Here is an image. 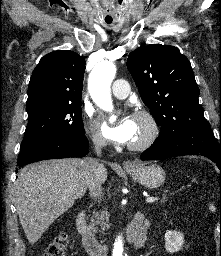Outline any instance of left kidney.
<instances>
[{
	"mask_svg": "<svg viewBox=\"0 0 221 256\" xmlns=\"http://www.w3.org/2000/svg\"><path fill=\"white\" fill-rule=\"evenodd\" d=\"M184 244V236L182 233L169 230L165 233V249L169 253L180 251Z\"/></svg>",
	"mask_w": 221,
	"mask_h": 256,
	"instance_id": "5707ae66",
	"label": "left kidney"
}]
</instances>
